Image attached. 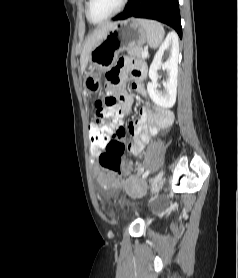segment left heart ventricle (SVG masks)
Returning <instances> with one entry per match:
<instances>
[{
	"label": "left heart ventricle",
	"mask_w": 238,
	"mask_h": 278,
	"mask_svg": "<svg viewBox=\"0 0 238 278\" xmlns=\"http://www.w3.org/2000/svg\"><path fill=\"white\" fill-rule=\"evenodd\" d=\"M121 1L122 0H92L90 14L93 19L101 20L114 12L119 7Z\"/></svg>",
	"instance_id": "obj_1"
}]
</instances>
